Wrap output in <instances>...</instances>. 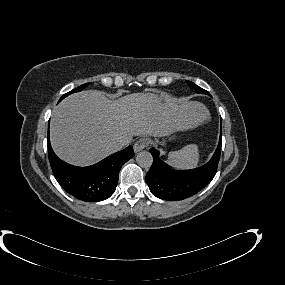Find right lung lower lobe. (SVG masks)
Wrapping results in <instances>:
<instances>
[{
	"label": "right lung lower lobe",
	"instance_id": "right-lung-lower-lobe-1",
	"mask_svg": "<svg viewBox=\"0 0 285 285\" xmlns=\"http://www.w3.org/2000/svg\"><path fill=\"white\" fill-rule=\"evenodd\" d=\"M48 155L58 183L75 198L97 202L109 198L116 189L122 165L134 156L131 146L116 152L99 163L88 167H75L60 160L53 152L48 132Z\"/></svg>",
	"mask_w": 285,
	"mask_h": 285
}]
</instances>
